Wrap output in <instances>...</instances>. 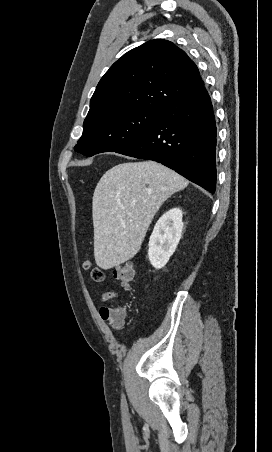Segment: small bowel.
I'll use <instances>...</instances> for the list:
<instances>
[{
	"instance_id": "obj_1",
	"label": "small bowel",
	"mask_w": 272,
	"mask_h": 452,
	"mask_svg": "<svg viewBox=\"0 0 272 452\" xmlns=\"http://www.w3.org/2000/svg\"><path fill=\"white\" fill-rule=\"evenodd\" d=\"M115 296H116L115 292H107L103 295V298L105 301H107L114 298ZM100 315L104 320L108 321L109 325L113 329L121 328L126 321L125 311L120 312L106 305L100 308Z\"/></svg>"
}]
</instances>
